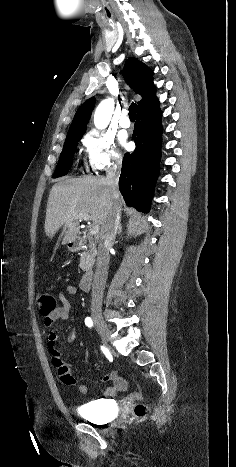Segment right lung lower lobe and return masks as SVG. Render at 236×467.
I'll return each mask as SVG.
<instances>
[{
	"instance_id": "right-lung-lower-lobe-1",
	"label": "right lung lower lobe",
	"mask_w": 236,
	"mask_h": 467,
	"mask_svg": "<svg viewBox=\"0 0 236 467\" xmlns=\"http://www.w3.org/2000/svg\"><path fill=\"white\" fill-rule=\"evenodd\" d=\"M161 116L158 99L138 111L132 138L133 153L122 162L119 189L128 206L149 212L161 159Z\"/></svg>"
}]
</instances>
